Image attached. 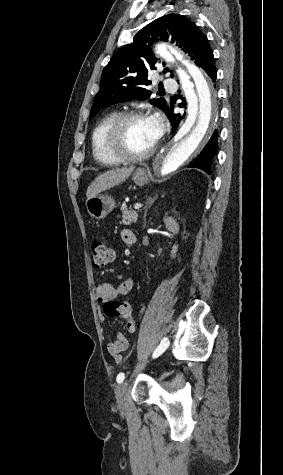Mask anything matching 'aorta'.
Listing matches in <instances>:
<instances>
[{
	"label": "aorta",
	"instance_id": "aorta-1",
	"mask_svg": "<svg viewBox=\"0 0 283 475\" xmlns=\"http://www.w3.org/2000/svg\"><path fill=\"white\" fill-rule=\"evenodd\" d=\"M169 51L186 66L192 81L178 70L188 104V115L175 136L154 159V173L159 177L172 174L198 155L218 118L216 95L211 81L176 48L165 43H160L155 48L156 54L172 61Z\"/></svg>",
	"mask_w": 283,
	"mask_h": 475
}]
</instances>
